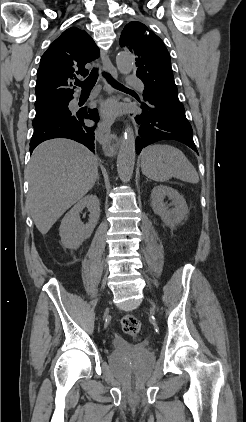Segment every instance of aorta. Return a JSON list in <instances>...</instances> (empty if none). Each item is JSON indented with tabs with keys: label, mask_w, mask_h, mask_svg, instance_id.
<instances>
[{
	"label": "aorta",
	"mask_w": 246,
	"mask_h": 422,
	"mask_svg": "<svg viewBox=\"0 0 246 422\" xmlns=\"http://www.w3.org/2000/svg\"><path fill=\"white\" fill-rule=\"evenodd\" d=\"M116 65L121 73L128 74L133 70L135 61L131 54L127 52H120L116 56ZM134 164L135 135L133 128L130 125H126L117 157V172L122 182L126 183L131 180Z\"/></svg>",
	"instance_id": "762f6f07"
}]
</instances>
